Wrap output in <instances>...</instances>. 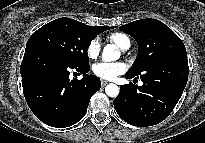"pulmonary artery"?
I'll list each match as a JSON object with an SVG mask.
<instances>
[{
  "label": "pulmonary artery",
  "instance_id": "pulmonary-artery-1",
  "mask_svg": "<svg viewBox=\"0 0 205 143\" xmlns=\"http://www.w3.org/2000/svg\"><path fill=\"white\" fill-rule=\"evenodd\" d=\"M130 46L125 47L123 50H127Z\"/></svg>",
  "mask_w": 205,
  "mask_h": 143
}]
</instances>
